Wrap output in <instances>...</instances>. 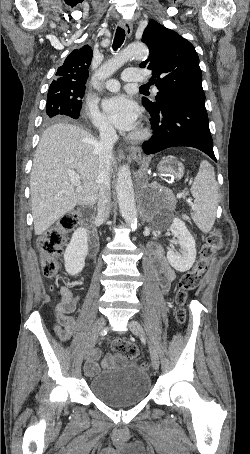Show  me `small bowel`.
<instances>
[{"instance_id":"obj_1","label":"small bowel","mask_w":250,"mask_h":454,"mask_svg":"<svg viewBox=\"0 0 250 454\" xmlns=\"http://www.w3.org/2000/svg\"><path fill=\"white\" fill-rule=\"evenodd\" d=\"M152 262L153 270L161 289L164 292L168 291L176 275L166 260L161 247L154 246L152 248ZM79 300L80 297L74 295L68 287H62L61 299L55 307L57 319L55 332L62 341L69 340L75 331L76 321L72 314L76 311ZM99 358V350L96 349L90 353L84 366L87 375H95L101 368L108 367L115 362V359L111 355H108L101 362H99Z\"/></svg>"}]
</instances>
